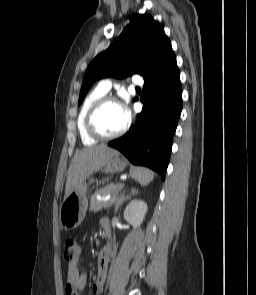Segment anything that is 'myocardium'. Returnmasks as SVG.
I'll use <instances>...</instances> for the list:
<instances>
[{
  "label": "myocardium",
  "mask_w": 256,
  "mask_h": 295,
  "mask_svg": "<svg viewBox=\"0 0 256 295\" xmlns=\"http://www.w3.org/2000/svg\"><path fill=\"white\" fill-rule=\"evenodd\" d=\"M108 103H115L121 106L119 100L116 97L105 95L93 103L85 118L86 131L91 137L99 141H108L122 136L128 130L131 123L130 116L126 112V123L119 131L113 134H104L100 132L95 124V117L98 111Z\"/></svg>",
  "instance_id": "obj_1"
}]
</instances>
